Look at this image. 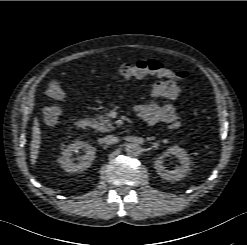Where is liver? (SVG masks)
<instances>
[{"label": "liver", "mask_w": 247, "mask_h": 245, "mask_svg": "<svg viewBox=\"0 0 247 245\" xmlns=\"http://www.w3.org/2000/svg\"><path fill=\"white\" fill-rule=\"evenodd\" d=\"M40 144H41V131L39 128L38 120L35 119L33 128H32V141L30 144V158H31L32 165L36 163V159L39 154Z\"/></svg>", "instance_id": "obj_1"}]
</instances>
